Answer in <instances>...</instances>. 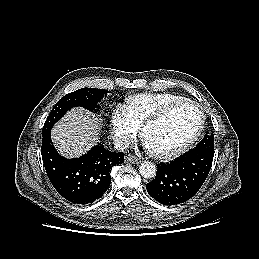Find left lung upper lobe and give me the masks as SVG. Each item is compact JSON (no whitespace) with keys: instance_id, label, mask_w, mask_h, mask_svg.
I'll list each match as a JSON object with an SVG mask.
<instances>
[{"instance_id":"1","label":"left lung upper lobe","mask_w":259,"mask_h":259,"mask_svg":"<svg viewBox=\"0 0 259 259\" xmlns=\"http://www.w3.org/2000/svg\"><path fill=\"white\" fill-rule=\"evenodd\" d=\"M195 149L205 150L214 153V135H205Z\"/></svg>"}]
</instances>
